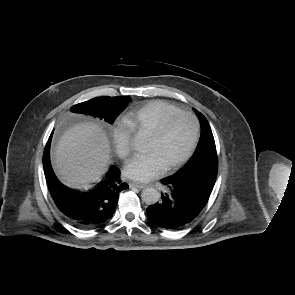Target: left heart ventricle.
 I'll list each match as a JSON object with an SVG mask.
<instances>
[{"mask_svg":"<svg viewBox=\"0 0 295 295\" xmlns=\"http://www.w3.org/2000/svg\"><path fill=\"white\" fill-rule=\"evenodd\" d=\"M194 134V124L188 116H177L167 125L164 134L148 138L145 151L157 155L164 167L174 163L188 150Z\"/></svg>","mask_w":295,"mask_h":295,"instance_id":"left-heart-ventricle-1","label":"left heart ventricle"}]
</instances>
